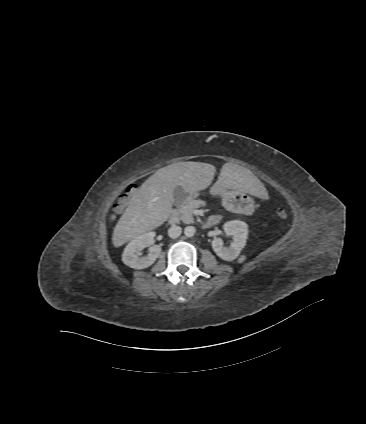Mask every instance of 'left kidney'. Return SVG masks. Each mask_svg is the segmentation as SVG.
I'll return each mask as SVG.
<instances>
[{"label":"left kidney","mask_w":366,"mask_h":424,"mask_svg":"<svg viewBox=\"0 0 366 424\" xmlns=\"http://www.w3.org/2000/svg\"><path fill=\"white\" fill-rule=\"evenodd\" d=\"M223 228L227 235L232 236L233 242L230 247H224L223 240L215 237L212 240V248L221 259L225 261H233L239 256L241 250L246 245L248 226L243 221L234 220L225 223Z\"/></svg>","instance_id":"5707ae66"}]
</instances>
